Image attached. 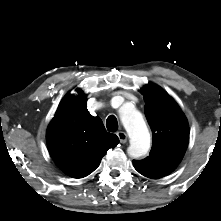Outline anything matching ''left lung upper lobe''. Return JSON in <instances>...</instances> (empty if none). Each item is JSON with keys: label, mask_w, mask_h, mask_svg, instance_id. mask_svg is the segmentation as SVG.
Instances as JSON below:
<instances>
[{"label": "left lung upper lobe", "mask_w": 221, "mask_h": 221, "mask_svg": "<svg viewBox=\"0 0 221 221\" xmlns=\"http://www.w3.org/2000/svg\"><path fill=\"white\" fill-rule=\"evenodd\" d=\"M145 115L152 129V149L143 160H133L145 177L170 174L182 160L189 140V125L177 103L161 87L149 83L141 89Z\"/></svg>", "instance_id": "obj_1"}]
</instances>
